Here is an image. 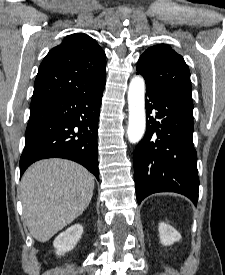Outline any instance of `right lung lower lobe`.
Segmentation results:
<instances>
[{
    "label": "right lung lower lobe",
    "mask_w": 225,
    "mask_h": 275,
    "mask_svg": "<svg viewBox=\"0 0 225 275\" xmlns=\"http://www.w3.org/2000/svg\"><path fill=\"white\" fill-rule=\"evenodd\" d=\"M105 81L106 76L90 93L30 106L20 175L37 160L64 158L80 163L99 179L97 130Z\"/></svg>",
    "instance_id": "obj_1"
}]
</instances>
